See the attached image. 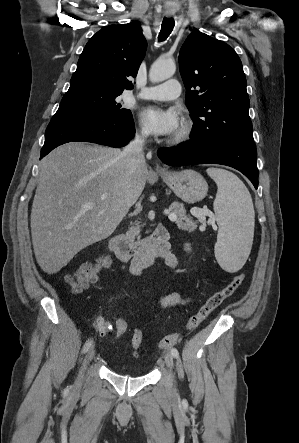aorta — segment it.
<instances>
[{"instance_id":"762f6f07","label":"aorta","mask_w":299,"mask_h":443,"mask_svg":"<svg viewBox=\"0 0 299 443\" xmlns=\"http://www.w3.org/2000/svg\"><path fill=\"white\" fill-rule=\"evenodd\" d=\"M176 65L173 60L159 58L151 66L149 71L150 81L153 83L162 82L174 75Z\"/></svg>"}]
</instances>
